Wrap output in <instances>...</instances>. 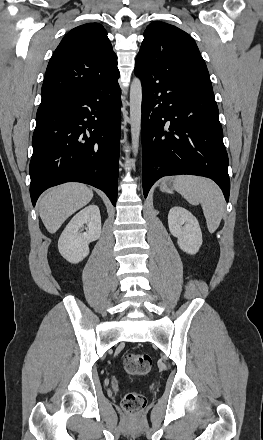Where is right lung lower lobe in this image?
Wrapping results in <instances>:
<instances>
[{
	"label": "right lung lower lobe",
	"instance_id": "1",
	"mask_svg": "<svg viewBox=\"0 0 263 440\" xmlns=\"http://www.w3.org/2000/svg\"><path fill=\"white\" fill-rule=\"evenodd\" d=\"M118 78L66 95L36 116L30 161L33 206L47 188L73 181L116 205L121 89Z\"/></svg>",
	"mask_w": 263,
	"mask_h": 440
}]
</instances>
